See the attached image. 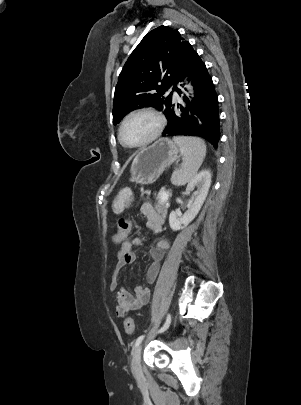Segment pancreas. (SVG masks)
Instances as JSON below:
<instances>
[{
    "mask_svg": "<svg viewBox=\"0 0 301 405\" xmlns=\"http://www.w3.org/2000/svg\"><path fill=\"white\" fill-rule=\"evenodd\" d=\"M155 208L159 213H166L167 208H168V202L162 201L161 198L159 197L157 203L155 204Z\"/></svg>",
    "mask_w": 301,
    "mask_h": 405,
    "instance_id": "cf45deb5",
    "label": "pancreas"
}]
</instances>
